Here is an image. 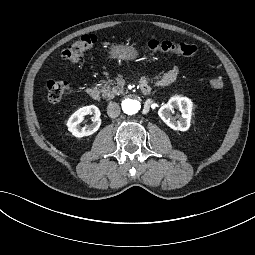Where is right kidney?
<instances>
[{"label":"right kidney","mask_w":255,"mask_h":255,"mask_svg":"<svg viewBox=\"0 0 255 255\" xmlns=\"http://www.w3.org/2000/svg\"><path fill=\"white\" fill-rule=\"evenodd\" d=\"M88 114L94 115L93 124L86 125L80 129V122L83 121L84 117ZM100 112L97 107L90 105L79 108L75 111L68 119L66 126L68 131L77 138L92 135L97 132L102 124L99 118Z\"/></svg>","instance_id":"ca27d5eb"}]
</instances>
